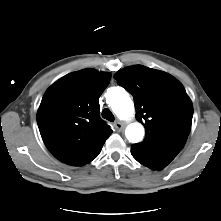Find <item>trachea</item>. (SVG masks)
Returning <instances> with one entry per match:
<instances>
[{
    "label": "trachea",
    "instance_id": "1",
    "mask_svg": "<svg viewBox=\"0 0 221 221\" xmlns=\"http://www.w3.org/2000/svg\"><path fill=\"white\" fill-rule=\"evenodd\" d=\"M102 117L110 122H113L114 121V115L112 114V112L105 108L103 111H102Z\"/></svg>",
    "mask_w": 221,
    "mask_h": 221
}]
</instances>
